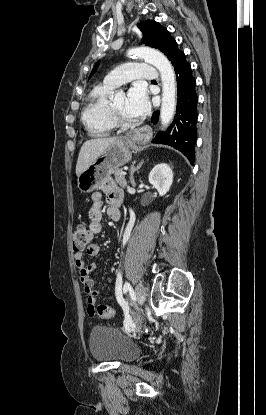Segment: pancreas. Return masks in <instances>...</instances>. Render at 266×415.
I'll return each mask as SVG.
<instances>
[{"instance_id":"cf45deb5","label":"pancreas","mask_w":266,"mask_h":415,"mask_svg":"<svg viewBox=\"0 0 266 415\" xmlns=\"http://www.w3.org/2000/svg\"><path fill=\"white\" fill-rule=\"evenodd\" d=\"M122 169H116L114 171L115 181L122 187L125 188L127 186V181L125 179V175H122Z\"/></svg>"}]
</instances>
